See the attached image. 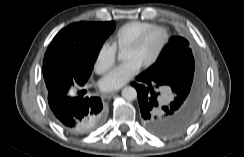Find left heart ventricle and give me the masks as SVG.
Returning a JSON list of instances; mask_svg holds the SVG:
<instances>
[{
    "mask_svg": "<svg viewBox=\"0 0 244 157\" xmlns=\"http://www.w3.org/2000/svg\"><path fill=\"white\" fill-rule=\"evenodd\" d=\"M164 36L161 32L157 31L147 37L143 44L137 49H127L124 51L123 59L134 60L141 66L148 62L159 50Z\"/></svg>",
    "mask_w": 244,
    "mask_h": 157,
    "instance_id": "b2bd125f",
    "label": "left heart ventricle"
}]
</instances>
